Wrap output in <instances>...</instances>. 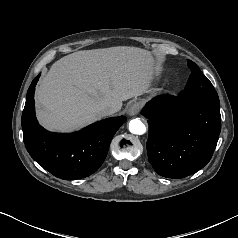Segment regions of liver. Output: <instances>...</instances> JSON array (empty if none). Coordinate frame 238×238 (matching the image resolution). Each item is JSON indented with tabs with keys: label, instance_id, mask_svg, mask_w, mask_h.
I'll list each match as a JSON object with an SVG mask.
<instances>
[{
	"label": "liver",
	"instance_id": "6515ba94",
	"mask_svg": "<svg viewBox=\"0 0 238 238\" xmlns=\"http://www.w3.org/2000/svg\"><path fill=\"white\" fill-rule=\"evenodd\" d=\"M155 67L150 52L128 46L78 51L56 61L36 89V114L52 131H73L116 112L122 102L150 92Z\"/></svg>",
	"mask_w": 238,
	"mask_h": 238
}]
</instances>
